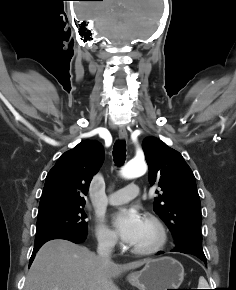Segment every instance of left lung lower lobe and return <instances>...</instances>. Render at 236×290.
Wrapping results in <instances>:
<instances>
[{
  "instance_id": "1",
  "label": "left lung lower lobe",
  "mask_w": 236,
  "mask_h": 290,
  "mask_svg": "<svg viewBox=\"0 0 236 290\" xmlns=\"http://www.w3.org/2000/svg\"><path fill=\"white\" fill-rule=\"evenodd\" d=\"M172 251H174V252H181V253H185V254H193V255L197 256L200 260H202L205 263V265H207L206 258H203L201 256H198V255H196L195 253H193L191 251L185 250L183 248H175ZM162 253L163 252H159L158 254H162Z\"/></svg>"
}]
</instances>
